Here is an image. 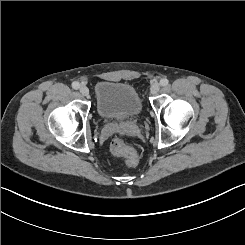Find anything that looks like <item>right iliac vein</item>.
<instances>
[{
  "mask_svg": "<svg viewBox=\"0 0 245 245\" xmlns=\"http://www.w3.org/2000/svg\"><path fill=\"white\" fill-rule=\"evenodd\" d=\"M80 93L84 96H87L89 94V89L86 86H81L79 89Z\"/></svg>",
  "mask_w": 245,
  "mask_h": 245,
  "instance_id": "1",
  "label": "right iliac vein"
}]
</instances>
